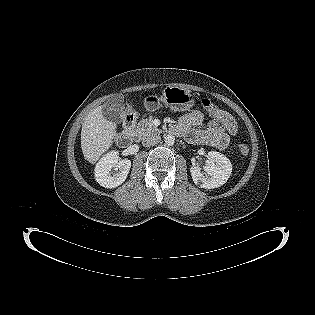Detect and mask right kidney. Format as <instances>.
I'll return each mask as SVG.
<instances>
[{"label": "right kidney", "instance_id": "obj_1", "mask_svg": "<svg viewBox=\"0 0 315 315\" xmlns=\"http://www.w3.org/2000/svg\"><path fill=\"white\" fill-rule=\"evenodd\" d=\"M130 168V160H120L118 152L111 151L97 163L95 178L105 188H116L126 180Z\"/></svg>", "mask_w": 315, "mask_h": 315}]
</instances>
